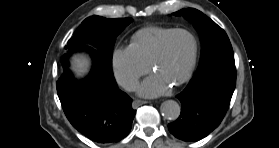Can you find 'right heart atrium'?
I'll use <instances>...</instances> for the list:
<instances>
[{"label": "right heart atrium", "instance_id": "1", "mask_svg": "<svg viewBox=\"0 0 279 148\" xmlns=\"http://www.w3.org/2000/svg\"><path fill=\"white\" fill-rule=\"evenodd\" d=\"M112 66L116 80L127 90L134 89L140 77L150 69L131 46L114 51Z\"/></svg>", "mask_w": 279, "mask_h": 148}]
</instances>
